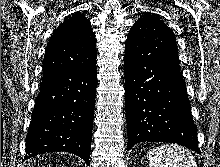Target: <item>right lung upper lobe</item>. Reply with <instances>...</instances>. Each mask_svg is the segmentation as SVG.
<instances>
[{"mask_svg": "<svg viewBox=\"0 0 220 167\" xmlns=\"http://www.w3.org/2000/svg\"><path fill=\"white\" fill-rule=\"evenodd\" d=\"M94 64L95 35L89 20L76 13L53 32L45 51L42 80L84 70Z\"/></svg>", "mask_w": 220, "mask_h": 167, "instance_id": "cb5924a9", "label": "right lung upper lobe"}]
</instances>
